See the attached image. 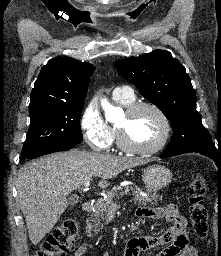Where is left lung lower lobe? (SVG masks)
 Wrapping results in <instances>:
<instances>
[{"label":"left lung lower lobe","mask_w":221,"mask_h":256,"mask_svg":"<svg viewBox=\"0 0 221 256\" xmlns=\"http://www.w3.org/2000/svg\"><path fill=\"white\" fill-rule=\"evenodd\" d=\"M197 152L213 159L218 167L221 166V147L218 148L212 141H196L189 145L167 147L160 155L167 158L182 153Z\"/></svg>","instance_id":"1"}]
</instances>
